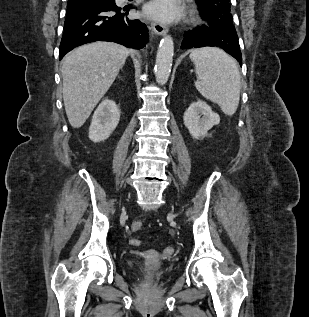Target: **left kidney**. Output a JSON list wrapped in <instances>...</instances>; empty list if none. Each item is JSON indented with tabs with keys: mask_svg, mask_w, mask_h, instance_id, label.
<instances>
[{
	"mask_svg": "<svg viewBox=\"0 0 309 317\" xmlns=\"http://www.w3.org/2000/svg\"><path fill=\"white\" fill-rule=\"evenodd\" d=\"M185 127L194 139L203 138L207 132L220 123V117L204 101L193 102L183 116Z\"/></svg>",
	"mask_w": 309,
	"mask_h": 317,
	"instance_id": "1",
	"label": "left kidney"
}]
</instances>
